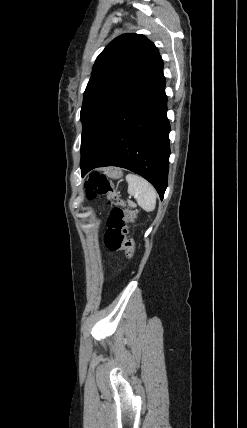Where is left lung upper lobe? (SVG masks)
Listing matches in <instances>:
<instances>
[{
  "label": "left lung upper lobe",
  "instance_id": "1",
  "mask_svg": "<svg viewBox=\"0 0 247 428\" xmlns=\"http://www.w3.org/2000/svg\"><path fill=\"white\" fill-rule=\"evenodd\" d=\"M93 69L80 113L81 162L120 106L162 72L163 61L157 47L144 35L123 34L106 46Z\"/></svg>",
  "mask_w": 247,
  "mask_h": 428
}]
</instances>
